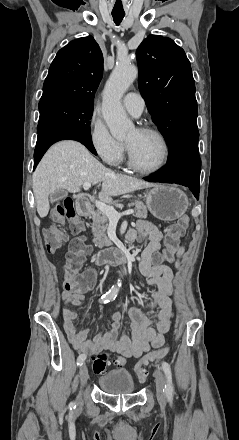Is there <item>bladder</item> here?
Wrapping results in <instances>:
<instances>
[{
  "mask_svg": "<svg viewBox=\"0 0 239 440\" xmlns=\"http://www.w3.org/2000/svg\"><path fill=\"white\" fill-rule=\"evenodd\" d=\"M100 389L108 394H130L135 391V383L126 370H112L98 379Z\"/></svg>",
  "mask_w": 239,
  "mask_h": 440,
  "instance_id": "31cf9c89",
  "label": "bladder"
}]
</instances>
